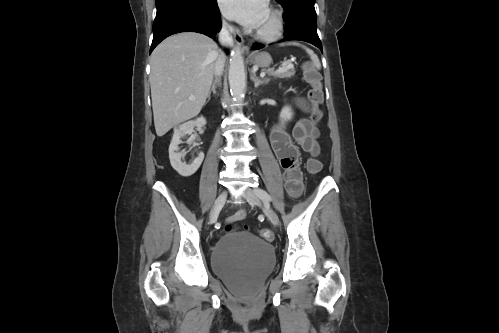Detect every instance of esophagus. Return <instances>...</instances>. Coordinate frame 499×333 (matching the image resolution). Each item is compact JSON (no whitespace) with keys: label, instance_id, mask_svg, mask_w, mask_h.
<instances>
[{"label":"esophagus","instance_id":"obj_1","mask_svg":"<svg viewBox=\"0 0 499 333\" xmlns=\"http://www.w3.org/2000/svg\"><path fill=\"white\" fill-rule=\"evenodd\" d=\"M233 37L236 43L242 47L243 53L247 54L249 52V47L244 44L243 36L237 28L233 29Z\"/></svg>","mask_w":499,"mask_h":333}]
</instances>
